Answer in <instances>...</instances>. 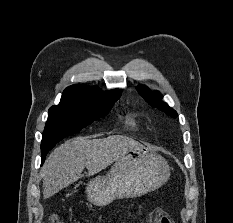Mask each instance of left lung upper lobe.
Listing matches in <instances>:
<instances>
[{
	"mask_svg": "<svg viewBox=\"0 0 233 223\" xmlns=\"http://www.w3.org/2000/svg\"><path fill=\"white\" fill-rule=\"evenodd\" d=\"M138 92L140 95L153 107L165 112L167 115L176 118L177 112L170 108L166 103L161 101L162 95L158 92L150 91L146 86H138Z\"/></svg>",
	"mask_w": 233,
	"mask_h": 223,
	"instance_id": "5c2ea615",
	"label": "left lung upper lobe"
}]
</instances>
